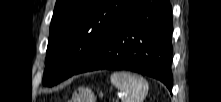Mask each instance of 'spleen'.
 <instances>
[{
	"label": "spleen",
	"instance_id": "3e777b00",
	"mask_svg": "<svg viewBox=\"0 0 221 102\" xmlns=\"http://www.w3.org/2000/svg\"><path fill=\"white\" fill-rule=\"evenodd\" d=\"M111 83L119 90L123 102H143L148 93L147 81L129 72H114Z\"/></svg>",
	"mask_w": 221,
	"mask_h": 102
}]
</instances>
